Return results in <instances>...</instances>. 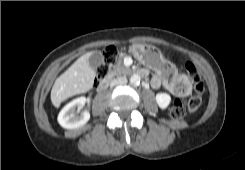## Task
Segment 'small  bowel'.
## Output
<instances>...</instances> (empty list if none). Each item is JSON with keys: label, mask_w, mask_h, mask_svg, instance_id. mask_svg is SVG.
<instances>
[{"label": "small bowel", "mask_w": 245, "mask_h": 170, "mask_svg": "<svg viewBox=\"0 0 245 170\" xmlns=\"http://www.w3.org/2000/svg\"><path fill=\"white\" fill-rule=\"evenodd\" d=\"M144 75L147 74L146 70H143ZM185 76L180 73L173 65L169 63H163L156 73L151 77L150 85L157 89L164 86L168 91L174 92L173 85L176 81H184Z\"/></svg>", "instance_id": "c3829d8e"}]
</instances>
